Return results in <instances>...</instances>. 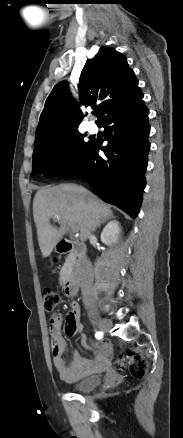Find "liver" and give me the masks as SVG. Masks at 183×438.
I'll return each mask as SVG.
<instances>
[{
	"label": "liver",
	"instance_id": "6515ba94",
	"mask_svg": "<svg viewBox=\"0 0 183 438\" xmlns=\"http://www.w3.org/2000/svg\"><path fill=\"white\" fill-rule=\"evenodd\" d=\"M111 215L109 206L82 186L61 184L38 190L33 200V217L42 256L51 254L69 226H75L80 238L86 240L99 222ZM56 216L60 228L50 224V218Z\"/></svg>",
	"mask_w": 183,
	"mask_h": 438
}]
</instances>
